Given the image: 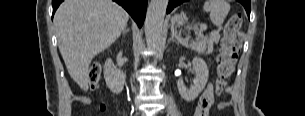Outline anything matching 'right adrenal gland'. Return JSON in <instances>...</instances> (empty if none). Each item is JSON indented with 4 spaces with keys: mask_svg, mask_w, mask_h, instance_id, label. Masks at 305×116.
<instances>
[{
    "mask_svg": "<svg viewBox=\"0 0 305 116\" xmlns=\"http://www.w3.org/2000/svg\"><path fill=\"white\" fill-rule=\"evenodd\" d=\"M129 31H130V29H129L128 27H126V28L123 30L122 35H126V33L129 32Z\"/></svg>",
    "mask_w": 305,
    "mask_h": 116,
    "instance_id": "obj_1",
    "label": "right adrenal gland"
}]
</instances>
